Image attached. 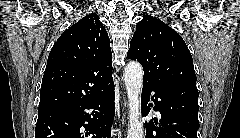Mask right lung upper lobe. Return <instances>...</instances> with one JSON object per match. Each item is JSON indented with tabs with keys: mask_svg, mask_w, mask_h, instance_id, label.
Listing matches in <instances>:
<instances>
[{
	"mask_svg": "<svg viewBox=\"0 0 240 138\" xmlns=\"http://www.w3.org/2000/svg\"><path fill=\"white\" fill-rule=\"evenodd\" d=\"M108 34L97 14L83 17L55 42L42 79L39 111L84 98L112 80Z\"/></svg>",
	"mask_w": 240,
	"mask_h": 138,
	"instance_id": "obj_1",
	"label": "right lung upper lobe"
}]
</instances>
